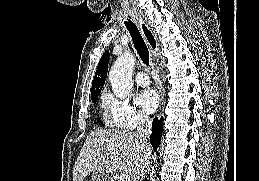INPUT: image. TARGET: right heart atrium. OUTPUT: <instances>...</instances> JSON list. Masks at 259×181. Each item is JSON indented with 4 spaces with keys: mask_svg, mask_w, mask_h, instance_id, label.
<instances>
[{
    "mask_svg": "<svg viewBox=\"0 0 259 181\" xmlns=\"http://www.w3.org/2000/svg\"><path fill=\"white\" fill-rule=\"evenodd\" d=\"M106 123L111 127L134 130L146 125L147 114L137 109L128 99H120L106 92L102 99Z\"/></svg>",
    "mask_w": 259,
    "mask_h": 181,
    "instance_id": "obj_1",
    "label": "right heart atrium"
}]
</instances>
